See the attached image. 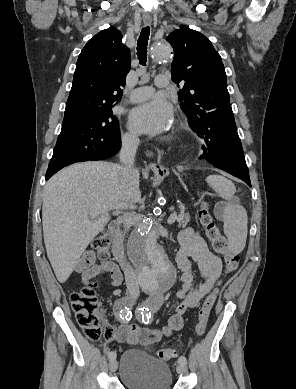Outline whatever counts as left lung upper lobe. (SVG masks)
I'll return each instance as SVG.
<instances>
[{
  "mask_svg": "<svg viewBox=\"0 0 296 389\" xmlns=\"http://www.w3.org/2000/svg\"><path fill=\"white\" fill-rule=\"evenodd\" d=\"M166 40L174 49L172 79L184 84L179 92L180 106L190 128L199 136L204 117L230 105L225 68L210 40L203 34L181 25Z\"/></svg>",
  "mask_w": 296,
  "mask_h": 389,
  "instance_id": "obj_1",
  "label": "left lung upper lobe"
}]
</instances>
